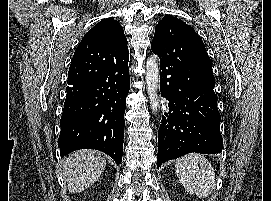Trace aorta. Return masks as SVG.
<instances>
[{
  "label": "aorta",
  "instance_id": "obj_1",
  "mask_svg": "<svg viewBox=\"0 0 271 201\" xmlns=\"http://www.w3.org/2000/svg\"><path fill=\"white\" fill-rule=\"evenodd\" d=\"M159 66L156 56H151L146 62V88L150 99V107L153 113H156L159 109Z\"/></svg>",
  "mask_w": 271,
  "mask_h": 201
}]
</instances>
